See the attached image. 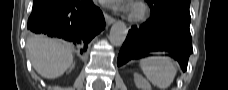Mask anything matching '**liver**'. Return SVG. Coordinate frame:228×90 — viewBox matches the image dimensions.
I'll return each mask as SVG.
<instances>
[{
	"mask_svg": "<svg viewBox=\"0 0 228 90\" xmlns=\"http://www.w3.org/2000/svg\"><path fill=\"white\" fill-rule=\"evenodd\" d=\"M26 48L33 67L44 78H57L73 66L72 51L62 41L33 35L28 39Z\"/></svg>",
	"mask_w": 228,
	"mask_h": 90,
	"instance_id": "obj_1",
	"label": "liver"
}]
</instances>
